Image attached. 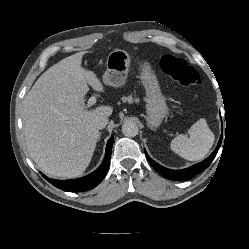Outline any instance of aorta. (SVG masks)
<instances>
[{"label": "aorta", "mask_w": 249, "mask_h": 249, "mask_svg": "<svg viewBox=\"0 0 249 249\" xmlns=\"http://www.w3.org/2000/svg\"><path fill=\"white\" fill-rule=\"evenodd\" d=\"M138 126L133 121H126L122 125V133L126 137H135L138 134Z\"/></svg>", "instance_id": "762f6f07"}]
</instances>
